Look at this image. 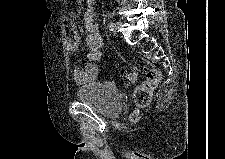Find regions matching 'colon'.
Masks as SVG:
<instances>
[{
  "label": "colon",
  "mask_w": 225,
  "mask_h": 159,
  "mask_svg": "<svg viewBox=\"0 0 225 159\" xmlns=\"http://www.w3.org/2000/svg\"><path fill=\"white\" fill-rule=\"evenodd\" d=\"M145 80L135 89L133 93V102L136 107V111L133 113V117H137L141 109H145L149 106L152 94L157 88L161 74L156 68H148L145 70ZM138 79V71L133 69L126 76V82L133 84Z\"/></svg>",
  "instance_id": "colon-1"
}]
</instances>
